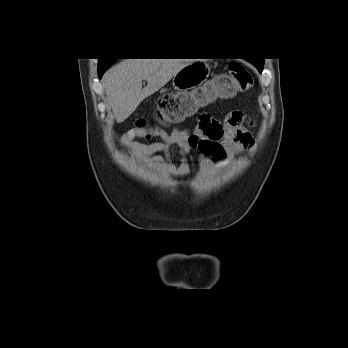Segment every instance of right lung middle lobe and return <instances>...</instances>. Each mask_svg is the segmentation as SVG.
<instances>
[{"mask_svg": "<svg viewBox=\"0 0 348 348\" xmlns=\"http://www.w3.org/2000/svg\"><path fill=\"white\" fill-rule=\"evenodd\" d=\"M114 61H115V59H100L99 67L109 68L113 64Z\"/></svg>", "mask_w": 348, "mask_h": 348, "instance_id": "dd1d6c3e", "label": "right lung middle lobe"}]
</instances>
